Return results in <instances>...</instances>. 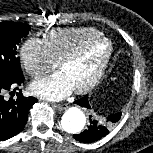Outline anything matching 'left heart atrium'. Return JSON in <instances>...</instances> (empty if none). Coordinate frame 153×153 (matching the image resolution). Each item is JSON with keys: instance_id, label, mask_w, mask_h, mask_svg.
I'll list each match as a JSON object with an SVG mask.
<instances>
[{"instance_id": "obj_1", "label": "left heart atrium", "mask_w": 153, "mask_h": 153, "mask_svg": "<svg viewBox=\"0 0 153 153\" xmlns=\"http://www.w3.org/2000/svg\"><path fill=\"white\" fill-rule=\"evenodd\" d=\"M35 95L44 99L57 101L67 97L74 87L63 71L38 79L31 84Z\"/></svg>"}]
</instances>
